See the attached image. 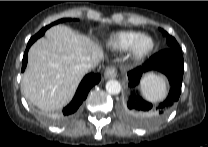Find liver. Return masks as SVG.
Instances as JSON below:
<instances>
[{"mask_svg":"<svg viewBox=\"0 0 208 147\" xmlns=\"http://www.w3.org/2000/svg\"><path fill=\"white\" fill-rule=\"evenodd\" d=\"M103 56L102 47L89 37L55 25L29 50L23 92L41 110H59L72 99L87 73L85 65L98 64Z\"/></svg>","mask_w":208,"mask_h":147,"instance_id":"liver-1","label":"liver"}]
</instances>
